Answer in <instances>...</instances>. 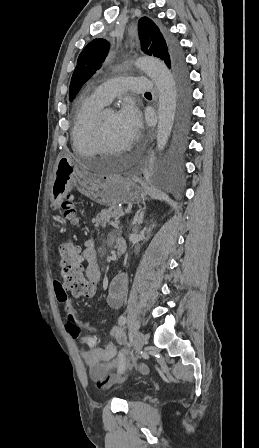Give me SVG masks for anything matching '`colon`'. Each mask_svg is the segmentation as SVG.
Wrapping results in <instances>:
<instances>
[{"label":"colon","mask_w":259,"mask_h":448,"mask_svg":"<svg viewBox=\"0 0 259 448\" xmlns=\"http://www.w3.org/2000/svg\"><path fill=\"white\" fill-rule=\"evenodd\" d=\"M64 216L72 224H77L79 209L73 195H69L63 203ZM59 268L64 289L75 296L89 297L94 294V287L87 280L84 273L83 257L79 248L70 240L59 243ZM98 342V335L90 332L83 336L82 344L94 347Z\"/></svg>","instance_id":"1"}]
</instances>
